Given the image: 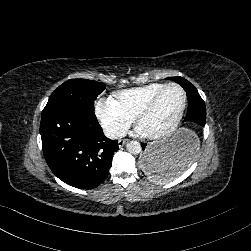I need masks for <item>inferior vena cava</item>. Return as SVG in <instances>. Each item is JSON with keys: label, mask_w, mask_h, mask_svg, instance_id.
<instances>
[{"label": "inferior vena cava", "mask_w": 251, "mask_h": 251, "mask_svg": "<svg viewBox=\"0 0 251 251\" xmlns=\"http://www.w3.org/2000/svg\"><path fill=\"white\" fill-rule=\"evenodd\" d=\"M104 135L110 139H117L126 135L125 131L115 125H109L103 128Z\"/></svg>", "instance_id": "1"}]
</instances>
